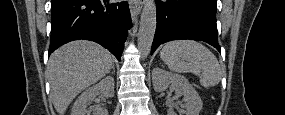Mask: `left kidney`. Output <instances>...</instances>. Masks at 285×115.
I'll return each mask as SVG.
<instances>
[{
	"label": "left kidney",
	"mask_w": 285,
	"mask_h": 115,
	"mask_svg": "<svg viewBox=\"0 0 285 115\" xmlns=\"http://www.w3.org/2000/svg\"><path fill=\"white\" fill-rule=\"evenodd\" d=\"M152 82L157 92L165 91L169 86H172L177 95L184 96L185 115H199L203 106L202 100L184 76L155 68L152 71ZM168 115H175V113L169 109Z\"/></svg>",
	"instance_id": "obj_1"
}]
</instances>
